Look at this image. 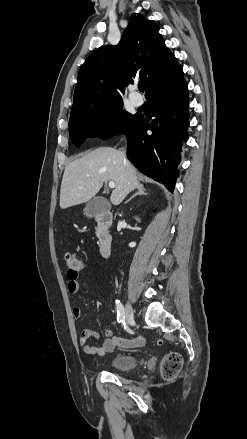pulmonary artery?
Here are the masks:
<instances>
[{
	"label": "pulmonary artery",
	"instance_id": "1",
	"mask_svg": "<svg viewBox=\"0 0 247 439\" xmlns=\"http://www.w3.org/2000/svg\"><path fill=\"white\" fill-rule=\"evenodd\" d=\"M130 100L132 101V103L135 106H140L142 104V102H143L142 99L139 96H136L134 94L130 95Z\"/></svg>",
	"mask_w": 247,
	"mask_h": 439
}]
</instances>
